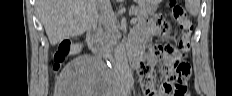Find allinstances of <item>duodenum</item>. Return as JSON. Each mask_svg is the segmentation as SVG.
I'll return each instance as SVG.
<instances>
[{"instance_id": "obj_1", "label": "duodenum", "mask_w": 232, "mask_h": 96, "mask_svg": "<svg viewBox=\"0 0 232 96\" xmlns=\"http://www.w3.org/2000/svg\"><path fill=\"white\" fill-rule=\"evenodd\" d=\"M99 33H100V25L94 24L87 33V41L89 45V49L91 53L99 58H104V50L100 44L99 41ZM124 53L126 54L129 64L133 69L138 68L139 61H138V55L139 52L136 47H129L124 50Z\"/></svg>"}]
</instances>
